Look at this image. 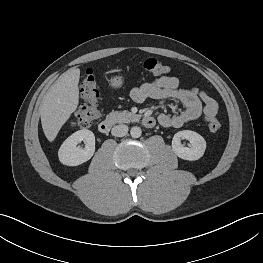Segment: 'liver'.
Segmentation results:
<instances>
[{
    "mask_svg": "<svg viewBox=\"0 0 263 263\" xmlns=\"http://www.w3.org/2000/svg\"><path fill=\"white\" fill-rule=\"evenodd\" d=\"M80 69L70 68L63 73L45 94L41 107L43 132L52 142L79 103Z\"/></svg>",
    "mask_w": 263,
    "mask_h": 263,
    "instance_id": "liver-1",
    "label": "liver"
}]
</instances>
